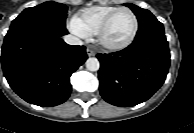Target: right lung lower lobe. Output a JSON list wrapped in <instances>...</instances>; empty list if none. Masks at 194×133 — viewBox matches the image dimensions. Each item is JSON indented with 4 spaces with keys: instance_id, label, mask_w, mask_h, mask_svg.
Listing matches in <instances>:
<instances>
[{
    "instance_id": "obj_1",
    "label": "right lung lower lobe",
    "mask_w": 194,
    "mask_h": 133,
    "mask_svg": "<svg viewBox=\"0 0 194 133\" xmlns=\"http://www.w3.org/2000/svg\"><path fill=\"white\" fill-rule=\"evenodd\" d=\"M65 25L55 22L19 24L8 31L2 68L11 88L25 101L43 107L65 102L70 76L87 59L84 46L66 44Z\"/></svg>"
}]
</instances>
